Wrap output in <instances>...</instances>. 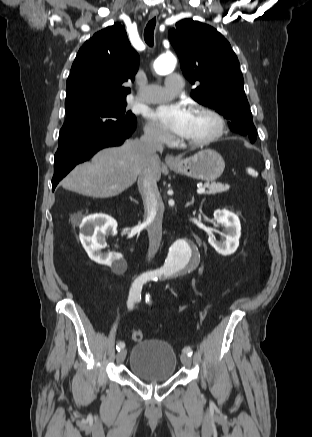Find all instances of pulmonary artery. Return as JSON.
Segmentation results:
<instances>
[{
	"label": "pulmonary artery",
	"instance_id": "e3ab8cb5",
	"mask_svg": "<svg viewBox=\"0 0 312 437\" xmlns=\"http://www.w3.org/2000/svg\"><path fill=\"white\" fill-rule=\"evenodd\" d=\"M183 85V78L179 74H171L165 79L163 86L150 85L145 89H139L136 93V99L144 103L162 102L179 93Z\"/></svg>",
	"mask_w": 312,
	"mask_h": 437
}]
</instances>
